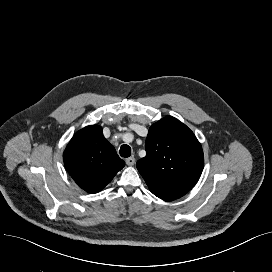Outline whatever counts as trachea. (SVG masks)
<instances>
[{"label":"trachea","instance_id":"1","mask_svg":"<svg viewBox=\"0 0 272 272\" xmlns=\"http://www.w3.org/2000/svg\"><path fill=\"white\" fill-rule=\"evenodd\" d=\"M131 155V148L129 145H122L121 148H120V156L121 157H124V158H127V157H130Z\"/></svg>","mask_w":272,"mask_h":272}]
</instances>
